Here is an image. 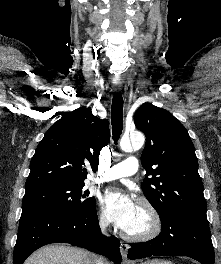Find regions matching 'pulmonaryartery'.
Returning a JSON list of instances; mask_svg holds the SVG:
<instances>
[{"label": "pulmonary artery", "instance_id": "pulmonary-artery-1", "mask_svg": "<svg viewBox=\"0 0 221 264\" xmlns=\"http://www.w3.org/2000/svg\"><path fill=\"white\" fill-rule=\"evenodd\" d=\"M139 169L138 159L135 157H129L124 161L108 168L103 176L94 179V182H107L123 177L134 175Z\"/></svg>", "mask_w": 221, "mask_h": 264}]
</instances>
